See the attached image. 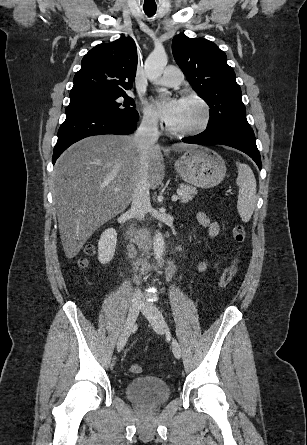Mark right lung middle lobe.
Segmentation results:
<instances>
[{
	"instance_id": "obj_1",
	"label": "right lung middle lobe",
	"mask_w": 307,
	"mask_h": 445,
	"mask_svg": "<svg viewBox=\"0 0 307 445\" xmlns=\"http://www.w3.org/2000/svg\"><path fill=\"white\" fill-rule=\"evenodd\" d=\"M135 102L127 94L90 95L71 98L66 115L80 112H106L125 117H139Z\"/></svg>"
}]
</instances>
